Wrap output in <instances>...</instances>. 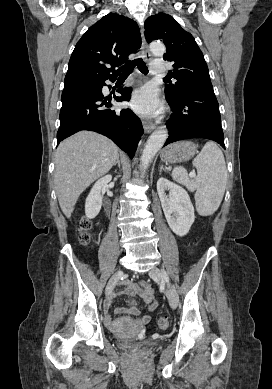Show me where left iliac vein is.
Here are the masks:
<instances>
[{"instance_id":"left-iliac-vein-1","label":"left iliac vein","mask_w":272,"mask_h":389,"mask_svg":"<svg viewBox=\"0 0 272 389\" xmlns=\"http://www.w3.org/2000/svg\"><path fill=\"white\" fill-rule=\"evenodd\" d=\"M149 276L155 280V281H161L165 284V288H166V296L169 300V303H170V306L171 308L175 309L179 303V297H178V294L174 288V286L172 284H170L169 282H167L164 278H163V273L162 271L157 268V267H153L150 271H149Z\"/></svg>"}]
</instances>
